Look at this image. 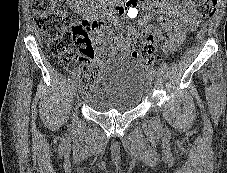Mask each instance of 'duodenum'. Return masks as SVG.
I'll return each instance as SVG.
<instances>
[{"instance_id":"410a0bca","label":"duodenum","mask_w":227,"mask_h":173,"mask_svg":"<svg viewBox=\"0 0 227 173\" xmlns=\"http://www.w3.org/2000/svg\"><path fill=\"white\" fill-rule=\"evenodd\" d=\"M102 8L107 15L119 13L129 0H100Z\"/></svg>"}]
</instances>
